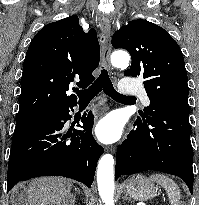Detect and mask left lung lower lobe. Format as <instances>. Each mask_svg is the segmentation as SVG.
I'll return each mask as SVG.
<instances>
[{
    "label": "left lung lower lobe",
    "mask_w": 199,
    "mask_h": 205,
    "mask_svg": "<svg viewBox=\"0 0 199 205\" xmlns=\"http://www.w3.org/2000/svg\"><path fill=\"white\" fill-rule=\"evenodd\" d=\"M147 119H138L116 154L115 179L156 170L180 177L192 193L193 148L189 113L150 104Z\"/></svg>",
    "instance_id": "1"
}]
</instances>
